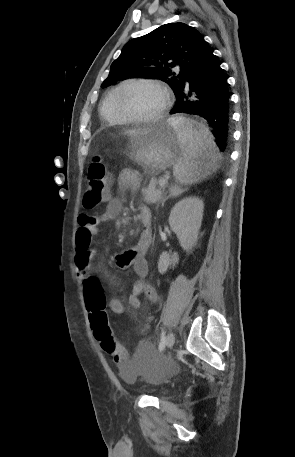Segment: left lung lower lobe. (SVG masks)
<instances>
[{
  "label": "left lung lower lobe",
  "instance_id": "obj_1",
  "mask_svg": "<svg viewBox=\"0 0 295 457\" xmlns=\"http://www.w3.org/2000/svg\"><path fill=\"white\" fill-rule=\"evenodd\" d=\"M183 79L170 113L185 112L206 119L213 128L214 142L221 152L226 151L231 134L230 95L223 69L205 40L194 52Z\"/></svg>",
  "mask_w": 295,
  "mask_h": 457
}]
</instances>
